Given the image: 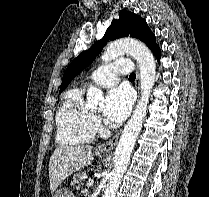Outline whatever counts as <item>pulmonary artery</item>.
<instances>
[{
  "mask_svg": "<svg viewBox=\"0 0 209 197\" xmlns=\"http://www.w3.org/2000/svg\"><path fill=\"white\" fill-rule=\"evenodd\" d=\"M133 67L128 59H119L115 62L105 63L94 70L88 80L102 87L113 86L118 82L119 74H128Z\"/></svg>",
  "mask_w": 209,
  "mask_h": 197,
  "instance_id": "e3ab8cb5",
  "label": "pulmonary artery"
}]
</instances>
